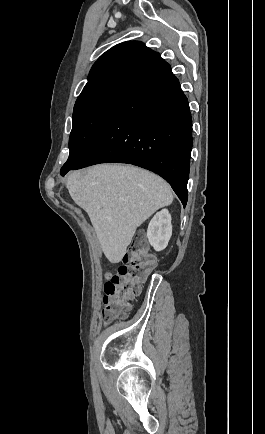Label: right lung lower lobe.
<instances>
[{"label":"right lung lower lobe","mask_w":265,"mask_h":434,"mask_svg":"<svg viewBox=\"0 0 265 434\" xmlns=\"http://www.w3.org/2000/svg\"><path fill=\"white\" fill-rule=\"evenodd\" d=\"M192 144L187 97L159 57L134 75L84 156L60 173L98 163L137 165L163 177L186 206Z\"/></svg>","instance_id":"1"}]
</instances>
